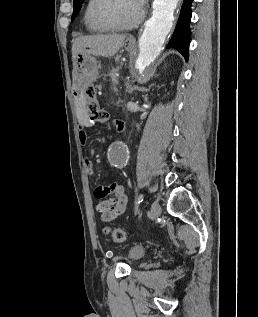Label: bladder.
I'll list each match as a JSON object with an SVG mask.
<instances>
[{
    "instance_id": "bladder-1",
    "label": "bladder",
    "mask_w": 258,
    "mask_h": 317,
    "mask_svg": "<svg viewBox=\"0 0 258 317\" xmlns=\"http://www.w3.org/2000/svg\"><path fill=\"white\" fill-rule=\"evenodd\" d=\"M145 254V250L141 246H133L129 249V258L131 260H138L143 257Z\"/></svg>"
}]
</instances>
